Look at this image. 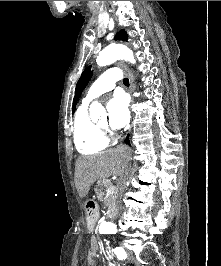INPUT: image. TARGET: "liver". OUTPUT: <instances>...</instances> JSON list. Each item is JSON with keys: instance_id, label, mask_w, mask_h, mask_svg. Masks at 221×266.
Here are the masks:
<instances>
[{"instance_id": "obj_1", "label": "liver", "mask_w": 221, "mask_h": 266, "mask_svg": "<svg viewBox=\"0 0 221 266\" xmlns=\"http://www.w3.org/2000/svg\"><path fill=\"white\" fill-rule=\"evenodd\" d=\"M130 151L126 146L95 155L80 156L75 162L74 181L80 198H84L98 179L124 175Z\"/></svg>"}]
</instances>
